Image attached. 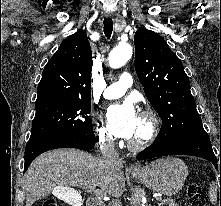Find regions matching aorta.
Returning <instances> with one entry per match:
<instances>
[{
	"label": "aorta",
	"instance_id": "aorta-1",
	"mask_svg": "<svg viewBox=\"0 0 221 206\" xmlns=\"http://www.w3.org/2000/svg\"><path fill=\"white\" fill-rule=\"evenodd\" d=\"M132 46L121 43L116 46L109 54L108 61L111 68H120L131 58Z\"/></svg>",
	"mask_w": 221,
	"mask_h": 206
}]
</instances>
